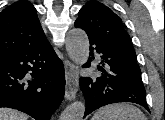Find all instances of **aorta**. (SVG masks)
Segmentation results:
<instances>
[{
	"mask_svg": "<svg viewBox=\"0 0 165 120\" xmlns=\"http://www.w3.org/2000/svg\"><path fill=\"white\" fill-rule=\"evenodd\" d=\"M66 50L69 58L78 65H83L89 57V39L79 28L69 31L66 38ZM85 103L76 101L70 104L61 114L59 120H82L85 113Z\"/></svg>",
	"mask_w": 165,
	"mask_h": 120,
	"instance_id": "obj_1",
	"label": "aorta"
}]
</instances>
